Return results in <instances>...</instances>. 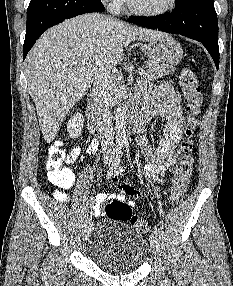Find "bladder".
<instances>
[{"instance_id":"bladder-1","label":"bladder","mask_w":233,"mask_h":286,"mask_svg":"<svg viewBox=\"0 0 233 286\" xmlns=\"http://www.w3.org/2000/svg\"><path fill=\"white\" fill-rule=\"evenodd\" d=\"M89 254L94 264L110 273L137 270L149 257L147 240L120 220L102 224L94 233Z\"/></svg>"}]
</instances>
